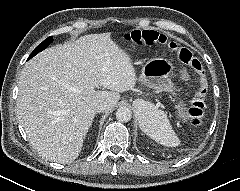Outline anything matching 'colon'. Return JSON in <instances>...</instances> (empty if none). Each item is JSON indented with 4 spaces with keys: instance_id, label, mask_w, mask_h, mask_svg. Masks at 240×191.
<instances>
[{
    "instance_id": "1",
    "label": "colon",
    "mask_w": 240,
    "mask_h": 191,
    "mask_svg": "<svg viewBox=\"0 0 240 191\" xmlns=\"http://www.w3.org/2000/svg\"><path fill=\"white\" fill-rule=\"evenodd\" d=\"M125 39L137 45L166 47L170 52L176 53L183 63L189 65L195 71L198 77V91L196 97L186 109V113L192 124H201L205 115V101L208 91L207 77L201 61L189 49L179 47L173 41H168L165 35L157 31H133L128 33Z\"/></svg>"
}]
</instances>
